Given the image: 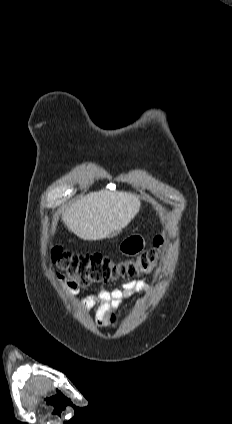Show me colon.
Returning <instances> with one entry per match:
<instances>
[{
	"label": "colon",
	"instance_id": "colon-1",
	"mask_svg": "<svg viewBox=\"0 0 232 424\" xmlns=\"http://www.w3.org/2000/svg\"><path fill=\"white\" fill-rule=\"evenodd\" d=\"M164 245L163 237L157 236L153 248L135 259L124 261H115L101 253H72L55 246L52 261L59 269V279L70 288L77 289L151 272L158 265Z\"/></svg>",
	"mask_w": 232,
	"mask_h": 424
}]
</instances>
